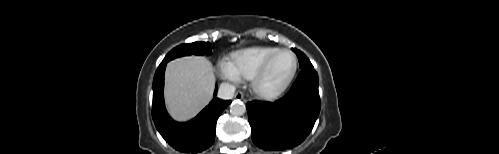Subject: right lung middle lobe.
<instances>
[{"label": "right lung middle lobe", "mask_w": 499, "mask_h": 154, "mask_svg": "<svg viewBox=\"0 0 499 154\" xmlns=\"http://www.w3.org/2000/svg\"><path fill=\"white\" fill-rule=\"evenodd\" d=\"M212 45L208 42H194L190 44H182L171 50L163 62H168L174 58L185 55H210Z\"/></svg>", "instance_id": "right-lung-middle-lobe-1"}]
</instances>
